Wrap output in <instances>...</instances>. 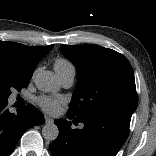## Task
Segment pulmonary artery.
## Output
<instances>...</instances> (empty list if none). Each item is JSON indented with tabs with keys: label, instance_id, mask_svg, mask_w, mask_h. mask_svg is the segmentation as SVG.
Here are the masks:
<instances>
[{
	"label": "pulmonary artery",
	"instance_id": "1",
	"mask_svg": "<svg viewBox=\"0 0 156 156\" xmlns=\"http://www.w3.org/2000/svg\"><path fill=\"white\" fill-rule=\"evenodd\" d=\"M62 85L66 88L71 87L75 78V68L70 67L61 72H57Z\"/></svg>",
	"mask_w": 156,
	"mask_h": 156
}]
</instances>
